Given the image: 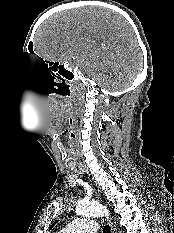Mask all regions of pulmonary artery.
<instances>
[{
  "mask_svg": "<svg viewBox=\"0 0 174 233\" xmlns=\"http://www.w3.org/2000/svg\"><path fill=\"white\" fill-rule=\"evenodd\" d=\"M96 231V221L87 218H81L69 223L59 233H95Z\"/></svg>",
  "mask_w": 174,
  "mask_h": 233,
  "instance_id": "e3ab8cb5",
  "label": "pulmonary artery"
}]
</instances>
